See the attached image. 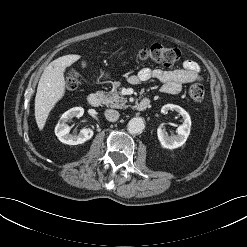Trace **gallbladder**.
Masks as SVG:
<instances>
[{"mask_svg":"<svg viewBox=\"0 0 247 247\" xmlns=\"http://www.w3.org/2000/svg\"><path fill=\"white\" fill-rule=\"evenodd\" d=\"M81 66H82V68H86V67H87L86 61H82V62H81Z\"/></svg>","mask_w":247,"mask_h":247,"instance_id":"1","label":"gallbladder"}]
</instances>
